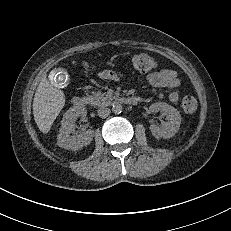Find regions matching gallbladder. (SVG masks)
I'll return each mask as SVG.
<instances>
[{
  "mask_svg": "<svg viewBox=\"0 0 231 231\" xmlns=\"http://www.w3.org/2000/svg\"><path fill=\"white\" fill-rule=\"evenodd\" d=\"M50 82L57 89H64L70 82V75L63 67H56L50 73Z\"/></svg>",
  "mask_w": 231,
  "mask_h": 231,
  "instance_id": "gallbladder-1",
  "label": "gallbladder"
}]
</instances>
